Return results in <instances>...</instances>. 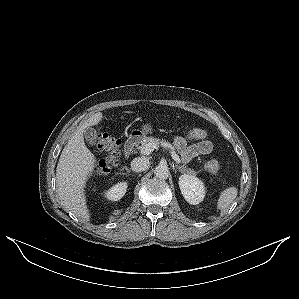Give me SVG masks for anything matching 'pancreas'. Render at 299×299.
I'll use <instances>...</instances> for the list:
<instances>
[{
  "label": "pancreas",
  "mask_w": 299,
  "mask_h": 299,
  "mask_svg": "<svg viewBox=\"0 0 299 299\" xmlns=\"http://www.w3.org/2000/svg\"><path fill=\"white\" fill-rule=\"evenodd\" d=\"M148 143H152L154 145H156L157 147L159 146H163L165 148H171L173 149L174 147L169 143V142H166V141H163V140H160V139H157V138H154L152 136L150 137H144L142 140H141V146L140 148L142 149L146 144ZM188 173H193V171L191 170H188Z\"/></svg>",
  "instance_id": "1"
}]
</instances>
